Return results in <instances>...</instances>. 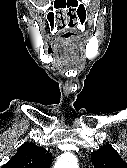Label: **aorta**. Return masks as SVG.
I'll return each mask as SVG.
<instances>
[{
	"label": "aorta",
	"mask_w": 127,
	"mask_h": 168,
	"mask_svg": "<svg viewBox=\"0 0 127 168\" xmlns=\"http://www.w3.org/2000/svg\"><path fill=\"white\" fill-rule=\"evenodd\" d=\"M54 168H78L77 160L72 153H64L57 160Z\"/></svg>",
	"instance_id": "aorta-1"
}]
</instances>
